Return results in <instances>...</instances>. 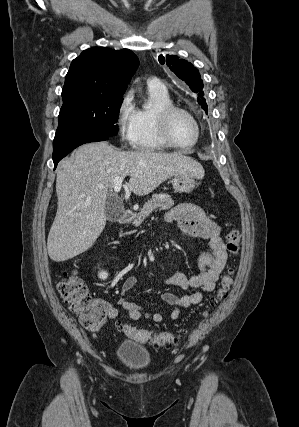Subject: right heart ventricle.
Listing matches in <instances>:
<instances>
[{"mask_svg": "<svg viewBox=\"0 0 299 427\" xmlns=\"http://www.w3.org/2000/svg\"><path fill=\"white\" fill-rule=\"evenodd\" d=\"M149 104L137 108V133L134 146L141 150H164L167 145L162 141L156 124L157 111L172 105L168 91H161L148 86Z\"/></svg>", "mask_w": 299, "mask_h": 427, "instance_id": "e07e8e85", "label": "right heart ventricle"}]
</instances>
